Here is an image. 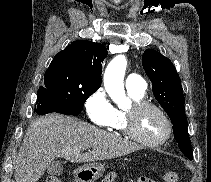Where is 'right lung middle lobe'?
<instances>
[{
	"instance_id": "1",
	"label": "right lung middle lobe",
	"mask_w": 211,
	"mask_h": 182,
	"mask_svg": "<svg viewBox=\"0 0 211 182\" xmlns=\"http://www.w3.org/2000/svg\"><path fill=\"white\" fill-rule=\"evenodd\" d=\"M100 86L64 70L48 68L44 74V86L39 87L37 96L40 99L51 98L69 111L79 114L85 101Z\"/></svg>"
}]
</instances>
